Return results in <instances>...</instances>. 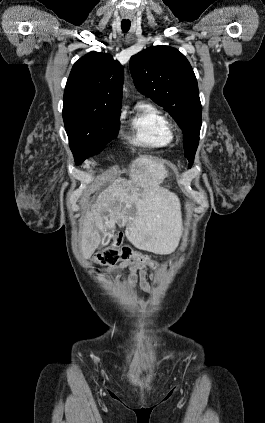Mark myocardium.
I'll list each match as a JSON object with an SVG mask.
<instances>
[{
	"mask_svg": "<svg viewBox=\"0 0 265 423\" xmlns=\"http://www.w3.org/2000/svg\"><path fill=\"white\" fill-rule=\"evenodd\" d=\"M169 128L171 132H176L179 130V126L177 124H169Z\"/></svg>",
	"mask_w": 265,
	"mask_h": 423,
	"instance_id": "1",
	"label": "myocardium"
}]
</instances>
